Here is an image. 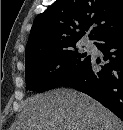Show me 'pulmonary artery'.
<instances>
[{
    "instance_id": "pulmonary-artery-1",
    "label": "pulmonary artery",
    "mask_w": 123,
    "mask_h": 130,
    "mask_svg": "<svg viewBox=\"0 0 123 130\" xmlns=\"http://www.w3.org/2000/svg\"><path fill=\"white\" fill-rule=\"evenodd\" d=\"M85 46H86L87 48H90V47H91V44H90V43H86Z\"/></svg>"
}]
</instances>
